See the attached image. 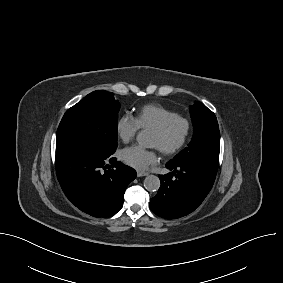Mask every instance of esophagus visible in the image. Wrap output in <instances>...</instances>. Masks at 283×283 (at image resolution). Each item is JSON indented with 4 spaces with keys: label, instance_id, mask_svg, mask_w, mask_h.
Wrapping results in <instances>:
<instances>
[{
    "label": "esophagus",
    "instance_id": "esophagus-1",
    "mask_svg": "<svg viewBox=\"0 0 283 283\" xmlns=\"http://www.w3.org/2000/svg\"><path fill=\"white\" fill-rule=\"evenodd\" d=\"M147 175H148V173H146V172H142V171L137 172L138 177H144V176H147Z\"/></svg>",
    "mask_w": 283,
    "mask_h": 283
}]
</instances>
